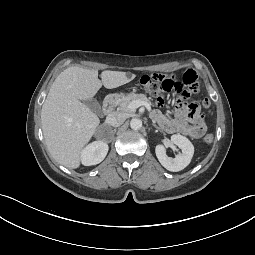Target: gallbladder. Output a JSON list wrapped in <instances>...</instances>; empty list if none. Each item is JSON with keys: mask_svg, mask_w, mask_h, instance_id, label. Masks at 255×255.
I'll return each instance as SVG.
<instances>
[{"mask_svg": "<svg viewBox=\"0 0 255 255\" xmlns=\"http://www.w3.org/2000/svg\"><path fill=\"white\" fill-rule=\"evenodd\" d=\"M83 103L93 112L97 113L98 115L101 114V106L99 102L95 99H88L83 101Z\"/></svg>", "mask_w": 255, "mask_h": 255, "instance_id": "gallbladder-1", "label": "gallbladder"}]
</instances>
